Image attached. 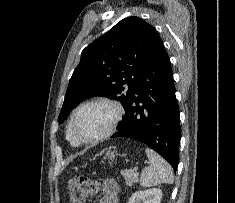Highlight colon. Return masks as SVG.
Returning a JSON list of instances; mask_svg holds the SVG:
<instances>
[{"label":"colon","mask_w":235,"mask_h":203,"mask_svg":"<svg viewBox=\"0 0 235 203\" xmlns=\"http://www.w3.org/2000/svg\"><path fill=\"white\" fill-rule=\"evenodd\" d=\"M101 187L98 180L84 176H74L69 181V195L73 203H83L96 195Z\"/></svg>","instance_id":"obj_1"}]
</instances>
